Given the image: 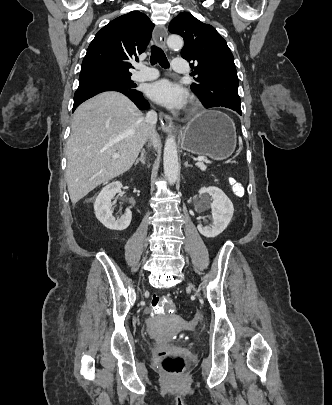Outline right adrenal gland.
Masks as SVG:
<instances>
[{"instance_id": "2a0ac1e0", "label": "right adrenal gland", "mask_w": 332, "mask_h": 405, "mask_svg": "<svg viewBox=\"0 0 332 405\" xmlns=\"http://www.w3.org/2000/svg\"><path fill=\"white\" fill-rule=\"evenodd\" d=\"M139 162H141V163H143V164L146 163V151H145L144 149L141 151L140 158H138V159L136 160L135 166H136Z\"/></svg>"}]
</instances>
